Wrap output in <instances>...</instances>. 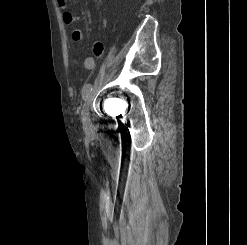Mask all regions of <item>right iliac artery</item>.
<instances>
[{
	"mask_svg": "<svg viewBox=\"0 0 247 245\" xmlns=\"http://www.w3.org/2000/svg\"><path fill=\"white\" fill-rule=\"evenodd\" d=\"M92 91L91 84H85L82 88V98L85 100L88 94Z\"/></svg>",
	"mask_w": 247,
	"mask_h": 245,
	"instance_id": "1",
	"label": "right iliac artery"
}]
</instances>
